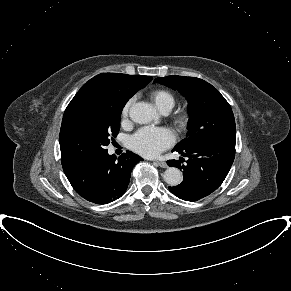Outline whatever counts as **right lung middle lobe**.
<instances>
[{
  "instance_id": "1",
  "label": "right lung middle lobe",
  "mask_w": 291,
  "mask_h": 291,
  "mask_svg": "<svg viewBox=\"0 0 291 291\" xmlns=\"http://www.w3.org/2000/svg\"><path fill=\"white\" fill-rule=\"evenodd\" d=\"M125 104L119 94L100 90L67 106L59 136L63 169H75L107 151Z\"/></svg>"
}]
</instances>
